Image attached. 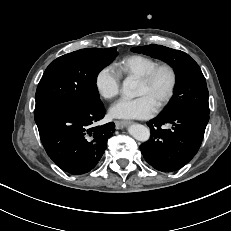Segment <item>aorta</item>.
<instances>
[{
    "mask_svg": "<svg viewBox=\"0 0 231 231\" xmlns=\"http://www.w3.org/2000/svg\"><path fill=\"white\" fill-rule=\"evenodd\" d=\"M137 82L130 77H127L122 86V92L126 97H134L137 93ZM129 134L136 140L146 142L150 138V130L144 125L133 124L128 128Z\"/></svg>",
    "mask_w": 231,
    "mask_h": 231,
    "instance_id": "aorta-1",
    "label": "aorta"
}]
</instances>
